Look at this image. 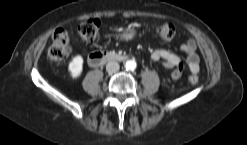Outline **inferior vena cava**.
I'll return each instance as SVG.
<instances>
[{
    "instance_id": "602c4592",
    "label": "inferior vena cava",
    "mask_w": 247,
    "mask_h": 145,
    "mask_svg": "<svg viewBox=\"0 0 247 145\" xmlns=\"http://www.w3.org/2000/svg\"><path fill=\"white\" fill-rule=\"evenodd\" d=\"M120 69L119 63L115 61L108 62L106 65V70L108 73H115Z\"/></svg>"
}]
</instances>
